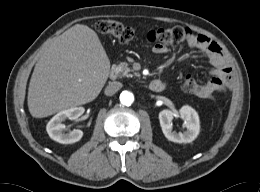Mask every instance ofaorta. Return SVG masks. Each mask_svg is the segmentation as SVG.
I'll return each instance as SVG.
<instances>
[{"label":"aorta","instance_id":"aorta-1","mask_svg":"<svg viewBox=\"0 0 260 192\" xmlns=\"http://www.w3.org/2000/svg\"><path fill=\"white\" fill-rule=\"evenodd\" d=\"M120 102L125 106H130L134 102V95L130 91H123L120 94Z\"/></svg>","mask_w":260,"mask_h":192}]
</instances>
